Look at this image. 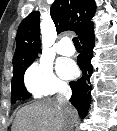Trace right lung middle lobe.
<instances>
[{"mask_svg": "<svg viewBox=\"0 0 117 131\" xmlns=\"http://www.w3.org/2000/svg\"><path fill=\"white\" fill-rule=\"evenodd\" d=\"M31 64L20 66L13 70V78H12V91H11V102L15 103L16 100H25L28 99L31 95L27 92L24 83H23V75L25 70Z\"/></svg>", "mask_w": 117, "mask_h": 131, "instance_id": "right-lung-middle-lobe-1", "label": "right lung middle lobe"}]
</instances>
